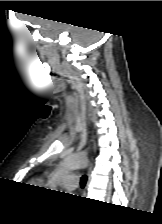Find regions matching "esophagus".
Listing matches in <instances>:
<instances>
[{
	"label": "esophagus",
	"mask_w": 162,
	"mask_h": 224,
	"mask_svg": "<svg viewBox=\"0 0 162 224\" xmlns=\"http://www.w3.org/2000/svg\"><path fill=\"white\" fill-rule=\"evenodd\" d=\"M91 165L89 166V168H88V172H87V176H88V180H87V184H86V187H85V189H87V187H88V184H89V181H90V171H91Z\"/></svg>",
	"instance_id": "obj_1"
}]
</instances>
